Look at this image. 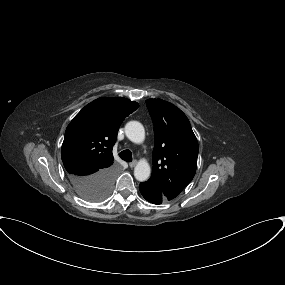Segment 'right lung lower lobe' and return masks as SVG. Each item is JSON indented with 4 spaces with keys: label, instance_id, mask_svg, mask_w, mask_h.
Listing matches in <instances>:
<instances>
[{
    "label": "right lung lower lobe",
    "instance_id": "98d812e1",
    "mask_svg": "<svg viewBox=\"0 0 285 285\" xmlns=\"http://www.w3.org/2000/svg\"><path fill=\"white\" fill-rule=\"evenodd\" d=\"M114 176L115 168L113 166L99 169L95 172L84 171L68 175L71 184L81 197L94 192L109 193Z\"/></svg>",
    "mask_w": 285,
    "mask_h": 285
}]
</instances>
